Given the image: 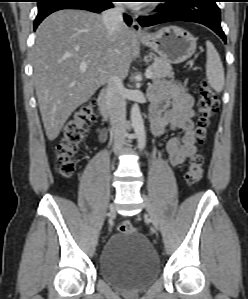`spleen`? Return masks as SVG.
<instances>
[{
    "label": "spleen",
    "mask_w": 248,
    "mask_h": 299,
    "mask_svg": "<svg viewBox=\"0 0 248 299\" xmlns=\"http://www.w3.org/2000/svg\"><path fill=\"white\" fill-rule=\"evenodd\" d=\"M206 47V76L208 83L216 92H221L225 85L223 65L218 52L210 41H206Z\"/></svg>",
    "instance_id": "3e777b00"
}]
</instances>
